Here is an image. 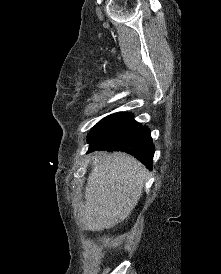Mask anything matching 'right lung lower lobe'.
<instances>
[{
    "mask_svg": "<svg viewBox=\"0 0 221 274\" xmlns=\"http://www.w3.org/2000/svg\"><path fill=\"white\" fill-rule=\"evenodd\" d=\"M123 151L133 155L150 170L154 145L150 130L133 119L131 113L122 114L107 129L90 141V151Z\"/></svg>",
    "mask_w": 221,
    "mask_h": 274,
    "instance_id": "obj_1",
    "label": "right lung lower lobe"
}]
</instances>
